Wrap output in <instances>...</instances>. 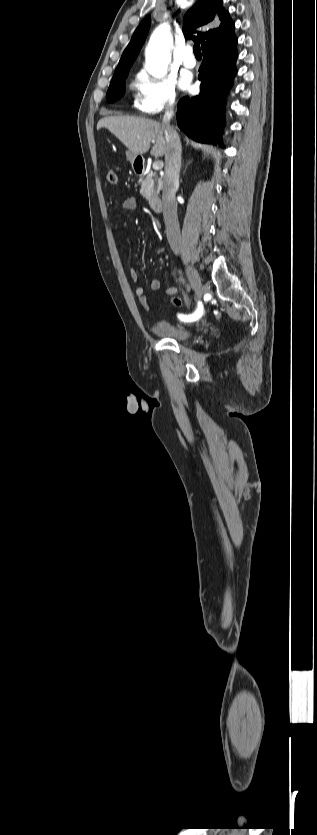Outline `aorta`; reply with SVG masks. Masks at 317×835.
Returning a JSON list of instances; mask_svg holds the SVG:
<instances>
[{
  "label": "aorta",
  "mask_w": 317,
  "mask_h": 835,
  "mask_svg": "<svg viewBox=\"0 0 317 835\" xmlns=\"http://www.w3.org/2000/svg\"><path fill=\"white\" fill-rule=\"evenodd\" d=\"M173 38L169 26L160 25L152 33L145 50V68L156 79L163 78L171 61Z\"/></svg>",
  "instance_id": "aorta-1"
}]
</instances>
